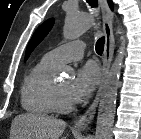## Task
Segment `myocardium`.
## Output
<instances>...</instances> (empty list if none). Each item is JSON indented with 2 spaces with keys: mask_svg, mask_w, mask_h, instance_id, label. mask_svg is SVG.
<instances>
[{
  "mask_svg": "<svg viewBox=\"0 0 141 139\" xmlns=\"http://www.w3.org/2000/svg\"><path fill=\"white\" fill-rule=\"evenodd\" d=\"M53 98L55 109L59 112H68L74 108V104L72 101H68L62 95L60 89L56 84H53Z\"/></svg>",
  "mask_w": 141,
  "mask_h": 139,
  "instance_id": "obj_1",
  "label": "myocardium"
}]
</instances>
